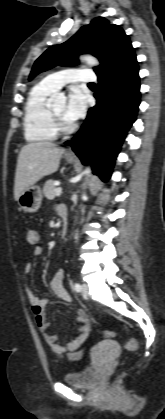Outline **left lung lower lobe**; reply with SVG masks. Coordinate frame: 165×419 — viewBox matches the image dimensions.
Returning <instances> with one entry per match:
<instances>
[{
  "mask_svg": "<svg viewBox=\"0 0 165 419\" xmlns=\"http://www.w3.org/2000/svg\"><path fill=\"white\" fill-rule=\"evenodd\" d=\"M138 62L134 48L98 75L97 104L90 108L70 145L83 164L107 181L128 129L136 120L140 104Z\"/></svg>",
  "mask_w": 165,
  "mask_h": 419,
  "instance_id": "left-lung-lower-lobe-1",
  "label": "left lung lower lobe"
}]
</instances>
